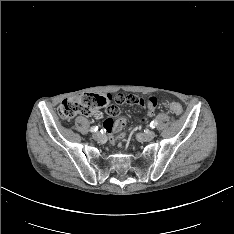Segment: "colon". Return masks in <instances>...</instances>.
<instances>
[{
    "mask_svg": "<svg viewBox=\"0 0 234 234\" xmlns=\"http://www.w3.org/2000/svg\"><path fill=\"white\" fill-rule=\"evenodd\" d=\"M101 94H81L79 96L63 100L58 107V114L63 119H71L78 114L90 115L93 112L103 109L95 105L94 100ZM111 97L108 94H104ZM150 107V106H149ZM170 110L175 115H181L182 106L177 102L169 103Z\"/></svg>",
    "mask_w": 234,
    "mask_h": 234,
    "instance_id": "5ec220e1",
    "label": "colon"
}]
</instances>
